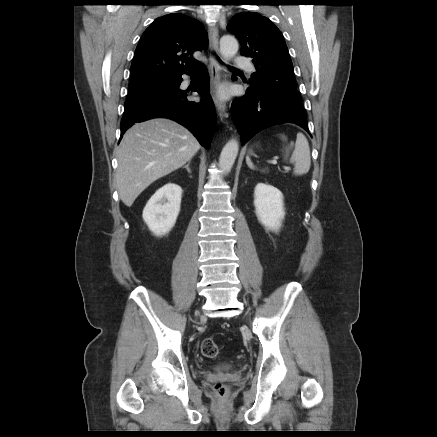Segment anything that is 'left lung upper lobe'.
<instances>
[{"mask_svg":"<svg viewBox=\"0 0 437 437\" xmlns=\"http://www.w3.org/2000/svg\"><path fill=\"white\" fill-rule=\"evenodd\" d=\"M227 29L239 39L241 55L253 58L257 71L250 79L252 87L299 99L284 37L270 19L242 12L233 16Z\"/></svg>","mask_w":437,"mask_h":437,"instance_id":"1","label":"left lung upper lobe"}]
</instances>
